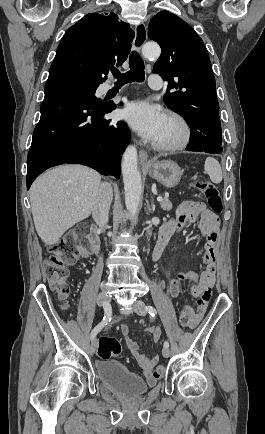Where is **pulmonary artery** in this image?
Listing matches in <instances>:
<instances>
[{
	"instance_id": "e3ab8cb5",
	"label": "pulmonary artery",
	"mask_w": 265,
	"mask_h": 434,
	"mask_svg": "<svg viewBox=\"0 0 265 434\" xmlns=\"http://www.w3.org/2000/svg\"><path fill=\"white\" fill-rule=\"evenodd\" d=\"M149 80H150L151 84H160L162 79H161L160 75H151ZM116 86H117L118 89L121 90V89L124 88L125 85H124L123 82L120 81V82L117 83Z\"/></svg>"
}]
</instances>
